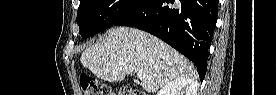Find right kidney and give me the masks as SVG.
<instances>
[{"label":"right kidney","instance_id":"ca27d5eb","mask_svg":"<svg viewBox=\"0 0 277 95\" xmlns=\"http://www.w3.org/2000/svg\"><path fill=\"white\" fill-rule=\"evenodd\" d=\"M197 81L191 78H179L166 84L157 95H197Z\"/></svg>","mask_w":277,"mask_h":95}]
</instances>
